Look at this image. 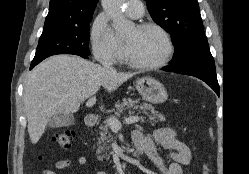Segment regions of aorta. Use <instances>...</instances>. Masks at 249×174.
I'll use <instances>...</instances> for the list:
<instances>
[{
    "mask_svg": "<svg viewBox=\"0 0 249 174\" xmlns=\"http://www.w3.org/2000/svg\"><path fill=\"white\" fill-rule=\"evenodd\" d=\"M126 0H102L105 12L111 18L115 29L119 34H125L133 28V23L126 19L122 12V6Z\"/></svg>",
    "mask_w": 249,
    "mask_h": 174,
    "instance_id": "obj_1",
    "label": "aorta"
}]
</instances>
